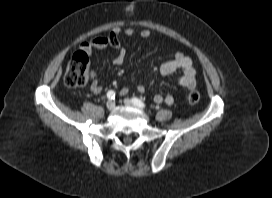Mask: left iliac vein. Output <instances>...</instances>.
Here are the masks:
<instances>
[{"instance_id":"1","label":"left iliac vein","mask_w":272,"mask_h":198,"mask_svg":"<svg viewBox=\"0 0 272 198\" xmlns=\"http://www.w3.org/2000/svg\"><path fill=\"white\" fill-rule=\"evenodd\" d=\"M124 104L127 105V106L134 107V104H133L132 100L128 99V98L124 99Z\"/></svg>"}]
</instances>
